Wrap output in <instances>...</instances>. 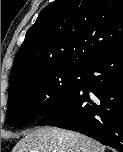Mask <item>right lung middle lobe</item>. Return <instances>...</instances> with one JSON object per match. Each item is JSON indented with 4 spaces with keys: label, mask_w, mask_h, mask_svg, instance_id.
Segmentation results:
<instances>
[{
    "label": "right lung middle lobe",
    "mask_w": 123,
    "mask_h": 152,
    "mask_svg": "<svg viewBox=\"0 0 123 152\" xmlns=\"http://www.w3.org/2000/svg\"><path fill=\"white\" fill-rule=\"evenodd\" d=\"M81 74L62 68L23 77L9 89L6 123L24 125L57 110L78 89Z\"/></svg>",
    "instance_id": "1"
}]
</instances>
